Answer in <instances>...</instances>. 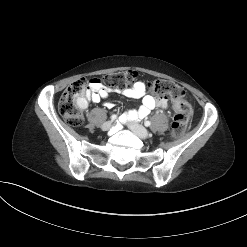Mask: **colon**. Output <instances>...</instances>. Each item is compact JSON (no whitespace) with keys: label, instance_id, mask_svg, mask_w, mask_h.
<instances>
[{"label":"colon","instance_id":"obj_1","mask_svg":"<svg viewBox=\"0 0 247 247\" xmlns=\"http://www.w3.org/2000/svg\"><path fill=\"white\" fill-rule=\"evenodd\" d=\"M135 77V72L128 70L107 74L101 79H96V81L107 88L121 90L134 81ZM88 88L89 82L86 79H79L71 83L60 98L59 112L71 126H79L83 122V109L87 104ZM149 88L156 95H169L174 99V117L171 124V133L175 137L183 135L191 115L190 107L184 101V89L167 79L154 80L149 84Z\"/></svg>","mask_w":247,"mask_h":247}]
</instances>
